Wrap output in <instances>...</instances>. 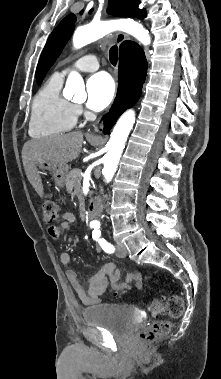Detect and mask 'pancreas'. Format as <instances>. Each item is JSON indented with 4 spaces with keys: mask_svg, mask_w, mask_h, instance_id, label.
<instances>
[{
    "mask_svg": "<svg viewBox=\"0 0 221 379\" xmlns=\"http://www.w3.org/2000/svg\"><path fill=\"white\" fill-rule=\"evenodd\" d=\"M81 170L78 168H75L71 170L65 180L66 189L71 192L73 189H75L76 192H80L81 187Z\"/></svg>",
    "mask_w": 221,
    "mask_h": 379,
    "instance_id": "cf45deb5",
    "label": "pancreas"
}]
</instances>
